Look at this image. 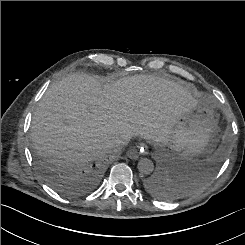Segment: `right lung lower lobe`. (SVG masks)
Returning a JSON list of instances; mask_svg holds the SVG:
<instances>
[{
  "mask_svg": "<svg viewBox=\"0 0 245 245\" xmlns=\"http://www.w3.org/2000/svg\"><path fill=\"white\" fill-rule=\"evenodd\" d=\"M95 169L90 171L80 183H75L69 175L58 174L51 170H46V175L51 186L60 194L67 197H77L85 193L90 187L91 178L96 174Z\"/></svg>",
  "mask_w": 245,
  "mask_h": 245,
  "instance_id": "98d812e1",
  "label": "right lung lower lobe"
}]
</instances>
